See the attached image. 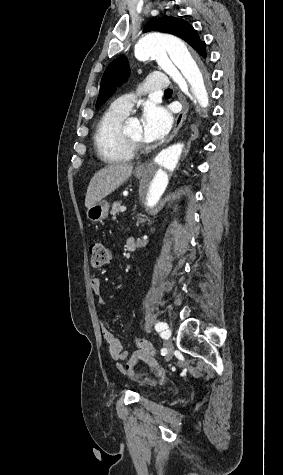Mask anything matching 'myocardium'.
<instances>
[{
    "instance_id": "myocardium-1",
    "label": "myocardium",
    "mask_w": 283,
    "mask_h": 475,
    "mask_svg": "<svg viewBox=\"0 0 283 475\" xmlns=\"http://www.w3.org/2000/svg\"><path fill=\"white\" fill-rule=\"evenodd\" d=\"M147 144L146 141L130 139L122 128L115 142L109 147V152L115 157H126L132 160L143 152ZM101 155L106 156L107 154L102 153Z\"/></svg>"
}]
</instances>
